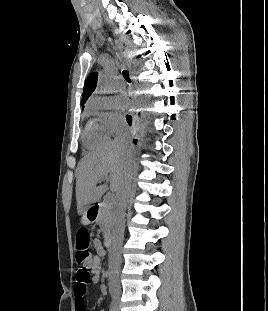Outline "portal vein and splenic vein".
Wrapping results in <instances>:
<instances>
[{
  "mask_svg": "<svg viewBox=\"0 0 268 311\" xmlns=\"http://www.w3.org/2000/svg\"><path fill=\"white\" fill-rule=\"evenodd\" d=\"M103 180L108 181V180H109V177H105ZM103 180H101V181H103ZM101 181H100V182H101ZM100 182H99V183H100Z\"/></svg>",
  "mask_w": 268,
  "mask_h": 311,
  "instance_id": "obj_1",
  "label": "portal vein and splenic vein"
}]
</instances>
